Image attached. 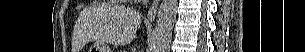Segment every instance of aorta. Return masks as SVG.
Segmentation results:
<instances>
[{
	"mask_svg": "<svg viewBox=\"0 0 305 52\" xmlns=\"http://www.w3.org/2000/svg\"><path fill=\"white\" fill-rule=\"evenodd\" d=\"M177 8L178 0H162L150 52H169Z\"/></svg>",
	"mask_w": 305,
	"mask_h": 52,
	"instance_id": "obj_1",
	"label": "aorta"
}]
</instances>
